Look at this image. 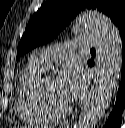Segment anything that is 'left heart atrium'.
<instances>
[{
	"mask_svg": "<svg viewBox=\"0 0 125 128\" xmlns=\"http://www.w3.org/2000/svg\"><path fill=\"white\" fill-rule=\"evenodd\" d=\"M57 80L62 93L69 102L77 100L87 86L86 74L83 68L75 62L66 64Z\"/></svg>",
	"mask_w": 125,
	"mask_h": 128,
	"instance_id": "39dd6f15",
	"label": "left heart atrium"
}]
</instances>
